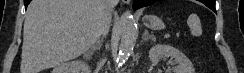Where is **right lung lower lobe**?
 <instances>
[{"label":"right lung lower lobe","instance_id":"obj_1","mask_svg":"<svg viewBox=\"0 0 244 73\" xmlns=\"http://www.w3.org/2000/svg\"><path fill=\"white\" fill-rule=\"evenodd\" d=\"M31 2V0H24V5H25V8H27L28 4Z\"/></svg>","mask_w":244,"mask_h":73}]
</instances>
